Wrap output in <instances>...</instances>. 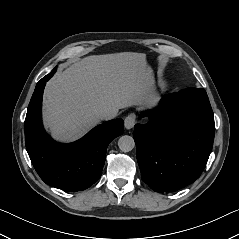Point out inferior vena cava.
I'll return each instance as SVG.
<instances>
[{
  "mask_svg": "<svg viewBox=\"0 0 239 239\" xmlns=\"http://www.w3.org/2000/svg\"><path fill=\"white\" fill-rule=\"evenodd\" d=\"M116 116V114L112 111H105V112H102L98 115V118L101 119V120H109V119H112Z\"/></svg>",
  "mask_w": 239,
  "mask_h": 239,
  "instance_id": "602c4592",
  "label": "inferior vena cava"
}]
</instances>
